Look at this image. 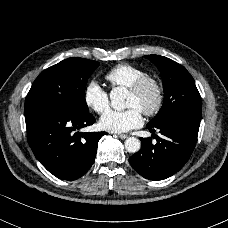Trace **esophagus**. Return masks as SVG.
I'll use <instances>...</instances> for the list:
<instances>
[{"label":"esophagus","mask_w":228,"mask_h":228,"mask_svg":"<svg viewBox=\"0 0 228 228\" xmlns=\"http://www.w3.org/2000/svg\"><path fill=\"white\" fill-rule=\"evenodd\" d=\"M118 137L120 139H126L128 136L126 134H119Z\"/></svg>","instance_id":"34e87169"}]
</instances>
